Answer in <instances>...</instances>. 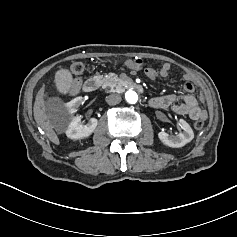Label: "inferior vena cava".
<instances>
[{"label":"inferior vena cava","mask_w":237,"mask_h":237,"mask_svg":"<svg viewBox=\"0 0 237 237\" xmlns=\"http://www.w3.org/2000/svg\"><path fill=\"white\" fill-rule=\"evenodd\" d=\"M106 102L109 105H116L121 102V96L119 94H110L106 97Z\"/></svg>","instance_id":"1"}]
</instances>
